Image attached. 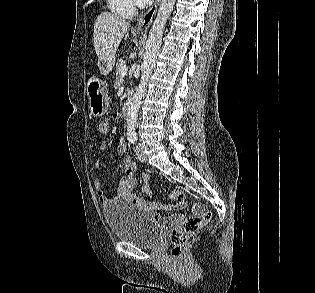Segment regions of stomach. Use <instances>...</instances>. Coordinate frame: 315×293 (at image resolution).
Returning <instances> with one entry per match:
<instances>
[{
  "label": "stomach",
  "mask_w": 315,
  "mask_h": 293,
  "mask_svg": "<svg viewBox=\"0 0 315 293\" xmlns=\"http://www.w3.org/2000/svg\"><path fill=\"white\" fill-rule=\"evenodd\" d=\"M106 81L95 76L91 78L87 85V95L89 97V108L93 115H104L109 107V98L106 91Z\"/></svg>",
  "instance_id": "1"
}]
</instances>
